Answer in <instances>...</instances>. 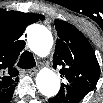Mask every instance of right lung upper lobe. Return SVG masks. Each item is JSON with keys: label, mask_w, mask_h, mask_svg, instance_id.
I'll return each mask as SVG.
<instances>
[{"label": "right lung upper lobe", "mask_w": 103, "mask_h": 103, "mask_svg": "<svg viewBox=\"0 0 103 103\" xmlns=\"http://www.w3.org/2000/svg\"><path fill=\"white\" fill-rule=\"evenodd\" d=\"M43 20L44 16L33 13L0 10V101L14 90L18 70L14 67L19 53L25 46L19 40L25 28Z\"/></svg>", "instance_id": "cb5924a9"}]
</instances>
